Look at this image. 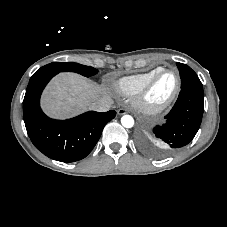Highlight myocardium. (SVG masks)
Wrapping results in <instances>:
<instances>
[{
    "mask_svg": "<svg viewBox=\"0 0 227 227\" xmlns=\"http://www.w3.org/2000/svg\"><path fill=\"white\" fill-rule=\"evenodd\" d=\"M167 72H172L175 75L176 83L172 93L166 98L164 101L160 103H151L148 101V95L157 80ZM181 88V78L177 70L172 68H161L158 72H156L137 92L134 103L136 107H138L142 112L148 114H157L164 110H166L176 99L180 92Z\"/></svg>",
    "mask_w": 227,
    "mask_h": 227,
    "instance_id": "1",
    "label": "myocardium"
}]
</instances>
